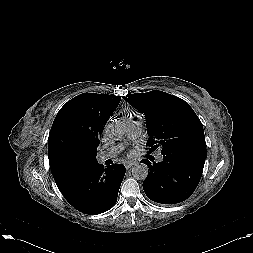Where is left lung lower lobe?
<instances>
[{"mask_svg": "<svg viewBox=\"0 0 253 253\" xmlns=\"http://www.w3.org/2000/svg\"><path fill=\"white\" fill-rule=\"evenodd\" d=\"M162 155L164 159L159 163L142 160L150 170L143 183L144 192L150 200L157 203L182 202L195 191L207 154L186 150Z\"/></svg>", "mask_w": 253, "mask_h": 253, "instance_id": "left-lung-lower-lobe-1", "label": "left lung lower lobe"}]
</instances>
